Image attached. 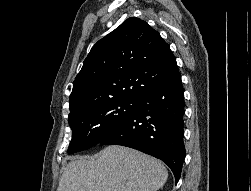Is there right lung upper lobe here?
<instances>
[{
	"mask_svg": "<svg viewBox=\"0 0 251 191\" xmlns=\"http://www.w3.org/2000/svg\"><path fill=\"white\" fill-rule=\"evenodd\" d=\"M179 74L175 56L160 34L131 17L92 47L73 82L70 109L136 101Z\"/></svg>",
	"mask_w": 251,
	"mask_h": 191,
	"instance_id": "obj_1",
	"label": "right lung upper lobe"
}]
</instances>
